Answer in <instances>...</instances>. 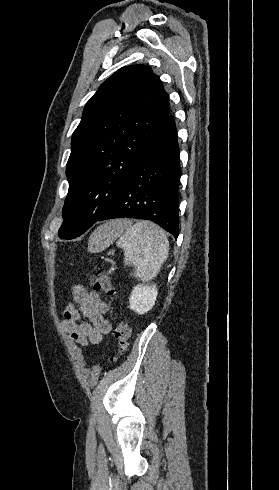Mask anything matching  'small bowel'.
<instances>
[{
    "label": "small bowel",
    "mask_w": 279,
    "mask_h": 490,
    "mask_svg": "<svg viewBox=\"0 0 279 490\" xmlns=\"http://www.w3.org/2000/svg\"><path fill=\"white\" fill-rule=\"evenodd\" d=\"M72 297L78 308L71 302L66 305L62 328L81 346L100 343L103 335H108L112 328L104 318L109 305L97 292H89L80 285L72 287ZM82 316L89 322H80Z\"/></svg>",
    "instance_id": "c3829d8e"
}]
</instances>
